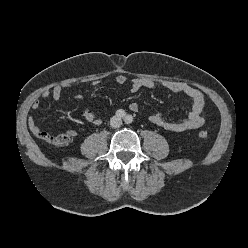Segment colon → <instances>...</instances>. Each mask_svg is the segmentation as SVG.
Here are the masks:
<instances>
[{"label": "colon", "mask_w": 248, "mask_h": 248, "mask_svg": "<svg viewBox=\"0 0 248 248\" xmlns=\"http://www.w3.org/2000/svg\"><path fill=\"white\" fill-rule=\"evenodd\" d=\"M199 137L202 139L207 138L208 133L205 130H201L198 133ZM48 143L55 145V146H63L65 144L68 143L69 141V137L68 135H63V134H59V135H46L45 139Z\"/></svg>", "instance_id": "obj_1"}]
</instances>
